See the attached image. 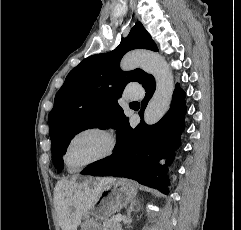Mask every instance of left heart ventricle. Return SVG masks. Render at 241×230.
Returning a JSON list of instances; mask_svg holds the SVG:
<instances>
[{
  "label": "left heart ventricle",
  "mask_w": 241,
  "mask_h": 230,
  "mask_svg": "<svg viewBox=\"0 0 241 230\" xmlns=\"http://www.w3.org/2000/svg\"><path fill=\"white\" fill-rule=\"evenodd\" d=\"M107 147L108 141L101 133H83L77 136L69 146L67 153L68 165L70 168H76L103 154Z\"/></svg>",
  "instance_id": "1"
}]
</instances>
